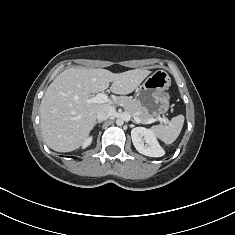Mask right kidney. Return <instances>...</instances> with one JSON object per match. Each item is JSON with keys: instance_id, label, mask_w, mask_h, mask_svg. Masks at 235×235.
<instances>
[{"instance_id": "1", "label": "right kidney", "mask_w": 235, "mask_h": 235, "mask_svg": "<svg viewBox=\"0 0 235 235\" xmlns=\"http://www.w3.org/2000/svg\"><path fill=\"white\" fill-rule=\"evenodd\" d=\"M92 143V137H88L82 144V148H86L88 146H90Z\"/></svg>"}]
</instances>
